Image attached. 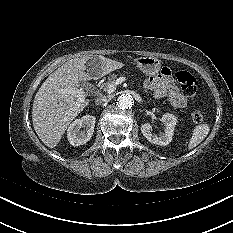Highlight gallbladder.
I'll use <instances>...</instances> for the list:
<instances>
[{"label":"gallbladder","instance_id":"obj_1","mask_svg":"<svg viewBox=\"0 0 233 233\" xmlns=\"http://www.w3.org/2000/svg\"><path fill=\"white\" fill-rule=\"evenodd\" d=\"M99 60H100L99 57H92V58L88 61V63H87V71H88L89 73L92 72V66H93L94 64H96Z\"/></svg>","mask_w":233,"mask_h":233}]
</instances>
